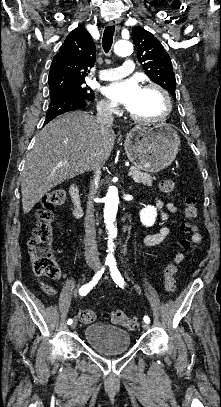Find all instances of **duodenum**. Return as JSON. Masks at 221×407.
Returning a JSON list of instances; mask_svg holds the SVG:
<instances>
[{"label":"duodenum","instance_id":"obj_1","mask_svg":"<svg viewBox=\"0 0 221 407\" xmlns=\"http://www.w3.org/2000/svg\"><path fill=\"white\" fill-rule=\"evenodd\" d=\"M71 202L73 206V214L76 218H80L84 214L82 201L79 193V186L72 185L70 188Z\"/></svg>","mask_w":221,"mask_h":407}]
</instances>
